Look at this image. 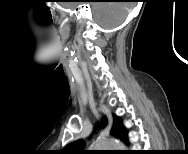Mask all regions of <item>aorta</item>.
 <instances>
[{
  "label": "aorta",
  "mask_w": 188,
  "mask_h": 154,
  "mask_svg": "<svg viewBox=\"0 0 188 154\" xmlns=\"http://www.w3.org/2000/svg\"><path fill=\"white\" fill-rule=\"evenodd\" d=\"M91 148L93 150H124L125 146L115 139H97L92 143Z\"/></svg>",
  "instance_id": "1"
}]
</instances>
